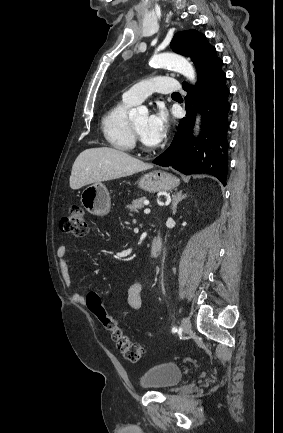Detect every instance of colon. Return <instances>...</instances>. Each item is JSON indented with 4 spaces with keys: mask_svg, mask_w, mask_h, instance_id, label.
<instances>
[{
    "mask_svg": "<svg viewBox=\"0 0 283 433\" xmlns=\"http://www.w3.org/2000/svg\"><path fill=\"white\" fill-rule=\"evenodd\" d=\"M60 228L63 232L69 233L78 239L84 238L88 231L84 209L79 205H72L68 214L61 219ZM86 305L100 324L110 332L112 340L124 359L137 362L143 357V345L133 342L124 330L118 326L116 320L106 312L100 297L96 293L87 295Z\"/></svg>",
    "mask_w": 283,
    "mask_h": 433,
    "instance_id": "5ec220e1",
    "label": "colon"
}]
</instances>
